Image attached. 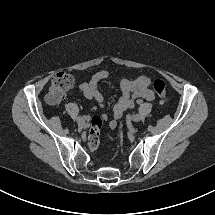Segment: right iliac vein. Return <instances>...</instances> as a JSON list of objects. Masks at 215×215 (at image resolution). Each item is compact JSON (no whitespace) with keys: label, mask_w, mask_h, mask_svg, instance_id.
I'll use <instances>...</instances> for the list:
<instances>
[{"label":"right iliac vein","mask_w":215,"mask_h":215,"mask_svg":"<svg viewBox=\"0 0 215 215\" xmlns=\"http://www.w3.org/2000/svg\"><path fill=\"white\" fill-rule=\"evenodd\" d=\"M86 123L85 119L83 117H78L77 118V124L78 125H84Z\"/></svg>","instance_id":"obj_1"}]
</instances>
